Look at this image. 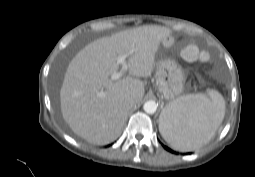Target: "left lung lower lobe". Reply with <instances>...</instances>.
Here are the masks:
<instances>
[{
    "label": "left lung lower lobe",
    "mask_w": 255,
    "mask_h": 177,
    "mask_svg": "<svg viewBox=\"0 0 255 177\" xmlns=\"http://www.w3.org/2000/svg\"><path fill=\"white\" fill-rule=\"evenodd\" d=\"M164 148H165L167 151L171 152V153H176L175 151H173L172 149H170V148L167 147V146H164Z\"/></svg>",
    "instance_id": "0a47b994"
}]
</instances>
